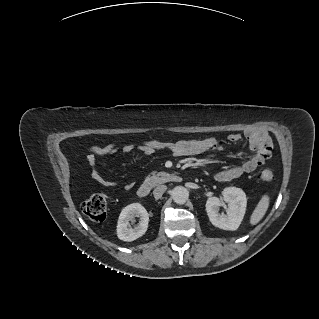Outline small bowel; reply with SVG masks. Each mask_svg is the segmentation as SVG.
<instances>
[{
    "label": "small bowel",
    "instance_id": "c3829d8e",
    "mask_svg": "<svg viewBox=\"0 0 319 319\" xmlns=\"http://www.w3.org/2000/svg\"><path fill=\"white\" fill-rule=\"evenodd\" d=\"M241 135L231 133L228 135L230 143H238L241 140ZM249 147L254 154L240 164L229 166L221 169L215 174V179L219 182H227L241 177L246 173L253 172L259 166L265 163L264 157L258 150L263 142L269 140L265 132H253L247 134ZM135 149L134 144H127L122 148L126 154L132 153ZM119 147L115 143H108L103 146L93 147L87 156V167L90 177L99 184L104 186H119L98 164V157L109 156L117 153ZM139 150L144 155H152L157 151H167L174 157H197L209 152H222L225 147L221 145L214 137L193 140H177V141H144L140 144ZM125 189L132 187L130 182L121 184Z\"/></svg>",
    "mask_w": 319,
    "mask_h": 319
}]
</instances>
